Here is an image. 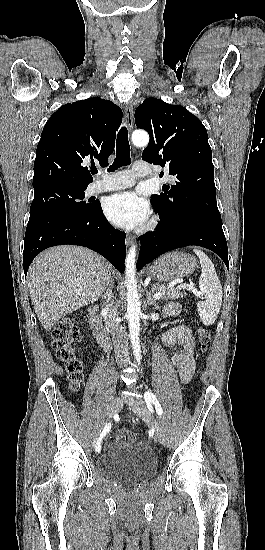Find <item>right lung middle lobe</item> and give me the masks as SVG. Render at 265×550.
Segmentation results:
<instances>
[{
	"label": "right lung middle lobe",
	"mask_w": 265,
	"mask_h": 550,
	"mask_svg": "<svg viewBox=\"0 0 265 550\" xmlns=\"http://www.w3.org/2000/svg\"><path fill=\"white\" fill-rule=\"evenodd\" d=\"M85 189H74L63 185H48L34 189V200L30 208V219L58 212H86L95 203H86Z\"/></svg>",
	"instance_id": "right-lung-middle-lobe-1"
}]
</instances>
